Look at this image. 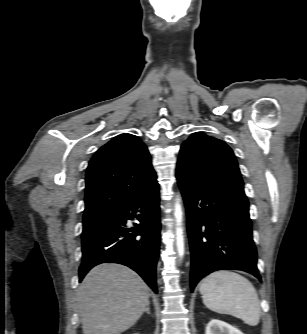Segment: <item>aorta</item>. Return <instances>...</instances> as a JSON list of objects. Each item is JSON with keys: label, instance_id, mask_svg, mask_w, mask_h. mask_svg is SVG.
<instances>
[{"label": "aorta", "instance_id": "762f6f07", "mask_svg": "<svg viewBox=\"0 0 307 334\" xmlns=\"http://www.w3.org/2000/svg\"><path fill=\"white\" fill-rule=\"evenodd\" d=\"M174 216L176 219V246L179 257H183L184 255V237H183V229L182 225V207L180 204V199L177 198L174 207Z\"/></svg>", "mask_w": 307, "mask_h": 334}]
</instances>
